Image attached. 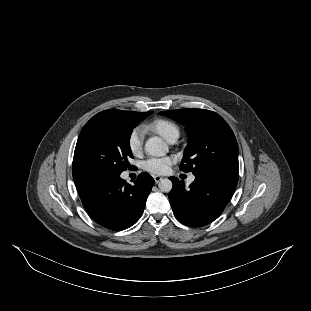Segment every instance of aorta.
I'll list each match as a JSON object with an SVG mask.
<instances>
[{
    "label": "aorta",
    "instance_id": "aorta-1",
    "mask_svg": "<svg viewBox=\"0 0 311 311\" xmlns=\"http://www.w3.org/2000/svg\"><path fill=\"white\" fill-rule=\"evenodd\" d=\"M145 150L146 152L154 157H162L165 156L169 149L168 145L163 142V140L160 137H151L149 138L145 143ZM172 181L169 179H163L159 183V189L162 192L168 193L172 189Z\"/></svg>",
    "mask_w": 311,
    "mask_h": 311
}]
</instances>
